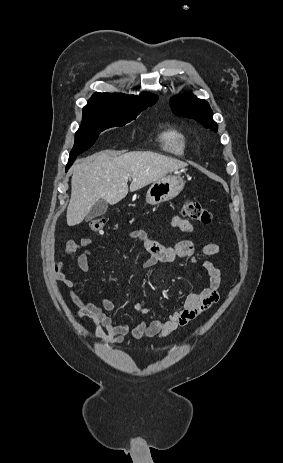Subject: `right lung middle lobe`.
<instances>
[{"label":"right lung middle lobe","mask_w":283,"mask_h":463,"mask_svg":"<svg viewBox=\"0 0 283 463\" xmlns=\"http://www.w3.org/2000/svg\"><path fill=\"white\" fill-rule=\"evenodd\" d=\"M153 104L135 106L89 101L83 108L82 124L75 134V143L70 157L77 156L90 148L102 131L111 127L124 126Z\"/></svg>","instance_id":"right-lung-middle-lobe-1"}]
</instances>
